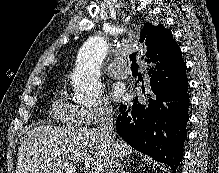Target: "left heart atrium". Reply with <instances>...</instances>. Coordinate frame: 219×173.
<instances>
[{
	"label": "left heart atrium",
	"mask_w": 219,
	"mask_h": 173,
	"mask_svg": "<svg viewBox=\"0 0 219 173\" xmlns=\"http://www.w3.org/2000/svg\"><path fill=\"white\" fill-rule=\"evenodd\" d=\"M112 96L116 101L121 100L124 97V88L121 85L116 84L113 87Z\"/></svg>",
	"instance_id": "39dd6f15"
}]
</instances>
